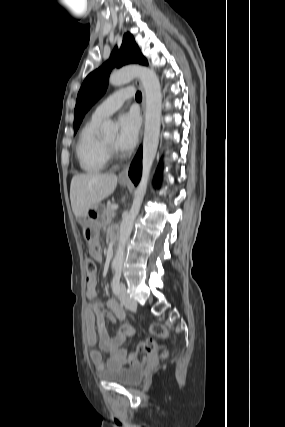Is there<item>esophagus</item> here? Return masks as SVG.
I'll return each mask as SVG.
<instances>
[{
    "mask_svg": "<svg viewBox=\"0 0 285 427\" xmlns=\"http://www.w3.org/2000/svg\"><path fill=\"white\" fill-rule=\"evenodd\" d=\"M135 84H136V86L141 90V92H142V103H141V116H142V118L144 119V116H145V107H146V98H145V91H144V88H143V86H142V84H141V82L137 79L136 81H135ZM141 134H142V131H141ZM129 167H130V162H128L125 166H124V168L122 169V171L120 172V174H119V179L120 180H123V181H128L129 180V177H128V170H129Z\"/></svg>",
    "mask_w": 285,
    "mask_h": 427,
    "instance_id": "34e87169",
    "label": "esophagus"
}]
</instances>
